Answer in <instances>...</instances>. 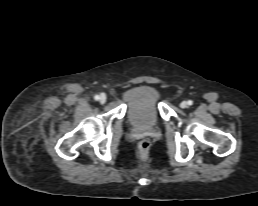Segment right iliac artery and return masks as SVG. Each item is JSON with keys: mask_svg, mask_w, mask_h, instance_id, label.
I'll use <instances>...</instances> for the list:
<instances>
[{"mask_svg": "<svg viewBox=\"0 0 258 206\" xmlns=\"http://www.w3.org/2000/svg\"><path fill=\"white\" fill-rule=\"evenodd\" d=\"M94 99H95V100H99V95H95V96H94Z\"/></svg>", "mask_w": 258, "mask_h": 206, "instance_id": "82829eb1", "label": "right iliac artery"}]
</instances>
